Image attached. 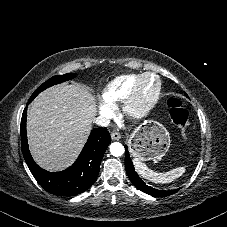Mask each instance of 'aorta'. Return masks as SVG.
Segmentation results:
<instances>
[{"label":"aorta","instance_id":"1","mask_svg":"<svg viewBox=\"0 0 227 227\" xmlns=\"http://www.w3.org/2000/svg\"><path fill=\"white\" fill-rule=\"evenodd\" d=\"M109 148L110 153L115 157L122 156L125 152L124 146L119 142L112 143Z\"/></svg>","mask_w":227,"mask_h":227}]
</instances>
